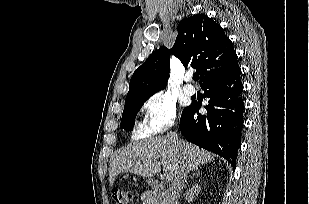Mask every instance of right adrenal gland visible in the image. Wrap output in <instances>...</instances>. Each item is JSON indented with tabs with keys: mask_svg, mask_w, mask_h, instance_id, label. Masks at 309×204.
<instances>
[{
	"mask_svg": "<svg viewBox=\"0 0 309 204\" xmlns=\"http://www.w3.org/2000/svg\"><path fill=\"white\" fill-rule=\"evenodd\" d=\"M195 175L200 176V170L198 168L193 170V173L190 177H194ZM185 182H186V184H188L187 180ZM186 184L184 185V187H186Z\"/></svg>",
	"mask_w": 309,
	"mask_h": 204,
	"instance_id": "obj_1",
	"label": "right adrenal gland"
}]
</instances>
